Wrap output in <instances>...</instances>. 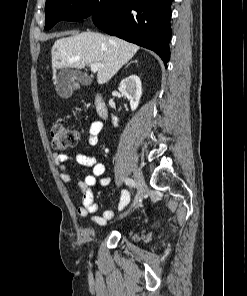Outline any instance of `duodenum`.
Segmentation results:
<instances>
[{
	"instance_id": "obj_1",
	"label": "duodenum",
	"mask_w": 247,
	"mask_h": 296,
	"mask_svg": "<svg viewBox=\"0 0 247 296\" xmlns=\"http://www.w3.org/2000/svg\"><path fill=\"white\" fill-rule=\"evenodd\" d=\"M95 110L97 115L102 118L108 114V108L102 95H98L95 99Z\"/></svg>"
}]
</instances>
